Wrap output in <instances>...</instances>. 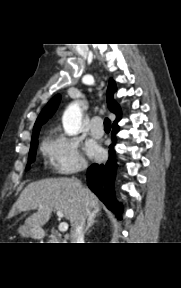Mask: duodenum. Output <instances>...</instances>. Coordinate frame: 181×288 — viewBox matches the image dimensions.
Wrapping results in <instances>:
<instances>
[{
  "label": "duodenum",
  "instance_id": "duodenum-1",
  "mask_svg": "<svg viewBox=\"0 0 181 288\" xmlns=\"http://www.w3.org/2000/svg\"><path fill=\"white\" fill-rule=\"evenodd\" d=\"M43 237H44V235H41V236H40V238H43Z\"/></svg>",
  "mask_w": 181,
  "mask_h": 288
}]
</instances>
